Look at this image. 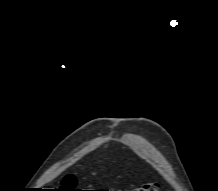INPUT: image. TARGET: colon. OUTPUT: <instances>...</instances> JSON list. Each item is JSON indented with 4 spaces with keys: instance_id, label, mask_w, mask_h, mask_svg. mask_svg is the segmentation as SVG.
<instances>
[{
    "instance_id": "5ec220e1",
    "label": "colon",
    "mask_w": 218,
    "mask_h": 191,
    "mask_svg": "<svg viewBox=\"0 0 218 191\" xmlns=\"http://www.w3.org/2000/svg\"><path fill=\"white\" fill-rule=\"evenodd\" d=\"M62 186L64 187L65 191H80L76 189V179L72 176H66L63 179ZM119 191H161V188L159 183L150 182L139 188L119 190Z\"/></svg>"
}]
</instances>
